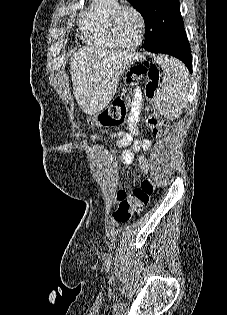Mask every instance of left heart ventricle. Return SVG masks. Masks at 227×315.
<instances>
[{"instance_id":"b2bd125f","label":"left heart ventricle","mask_w":227,"mask_h":315,"mask_svg":"<svg viewBox=\"0 0 227 315\" xmlns=\"http://www.w3.org/2000/svg\"><path fill=\"white\" fill-rule=\"evenodd\" d=\"M139 30L137 16L129 10L122 12L115 25V35L119 43L125 46L134 45L139 39Z\"/></svg>"}]
</instances>
